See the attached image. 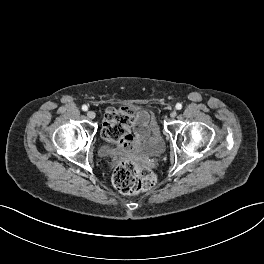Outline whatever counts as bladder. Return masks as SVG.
I'll list each match as a JSON object with an SVG mask.
<instances>
[{
	"instance_id": "obj_1",
	"label": "bladder",
	"mask_w": 264,
	"mask_h": 264,
	"mask_svg": "<svg viewBox=\"0 0 264 264\" xmlns=\"http://www.w3.org/2000/svg\"><path fill=\"white\" fill-rule=\"evenodd\" d=\"M165 151V142L156 120H152L150 134L144 140L142 145L137 149V152L144 157H157ZM112 148L109 145L101 147V153L104 156L111 154Z\"/></svg>"
}]
</instances>
